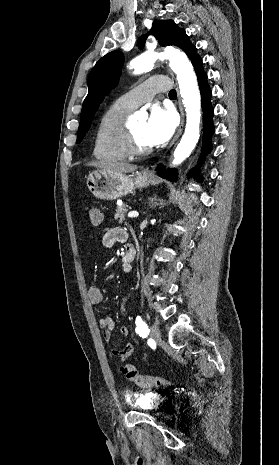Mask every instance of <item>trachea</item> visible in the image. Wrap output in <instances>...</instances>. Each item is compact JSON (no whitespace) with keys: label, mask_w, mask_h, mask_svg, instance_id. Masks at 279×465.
I'll list each match as a JSON object with an SVG mask.
<instances>
[{"label":"trachea","mask_w":279,"mask_h":465,"mask_svg":"<svg viewBox=\"0 0 279 465\" xmlns=\"http://www.w3.org/2000/svg\"><path fill=\"white\" fill-rule=\"evenodd\" d=\"M169 97L173 98V97H176V91L174 89H172L170 92H169Z\"/></svg>","instance_id":"3493384b"}]
</instances>
